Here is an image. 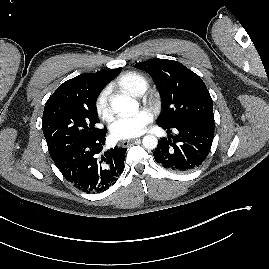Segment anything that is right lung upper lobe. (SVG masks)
<instances>
[{
  "instance_id": "obj_1",
  "label": "right lung upper lobe",
  "mask_w": 269,
  "mask_h": 269,
  "mask_svg": "<svg viewBox=\"0 0 269 269\" xmlns=\"http://www.w3.org/2000/svg\"><path fill=\"white\" fill-rule=\"evenodd\" d=\"M122 68L97 73L82 74L61 84L49 99L79 95L82 93H100L103 87L117 76Z\"/></svg>"
}]
</instances>
